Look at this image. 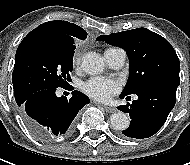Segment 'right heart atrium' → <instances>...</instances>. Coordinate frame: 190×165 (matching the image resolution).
<instances>
[{"label": "right heart atrium", "instance_id": "obj_1", "mask_svg": "<svg viewBox=\"0 0 190 165\" xmlns=\"http://www.w3.org/2000/svg\"><path fill=\"white\" fill-rule=\"evenodd\" d=\"M80 62H81V53L76 52L72 58V64L74 67H78L80 65Z\"/></svg>", "mask_w": 190, "mask_h": 165}]
</instances>
